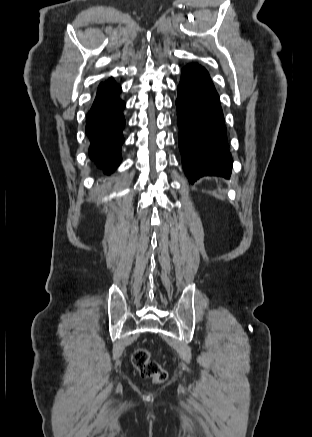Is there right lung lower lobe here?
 Masks as SVG:
<instances>
[{
    "mask_svg": "<svg viewBox=\"0 0 312 437\" xmlns=\"http://www.w3.org/2000/svg\"><path fill=\"white\" fill-rule=\"evenodd\" d=\"M121 87L111 78L101 83L86 116V134L91 142L90 158L110 174L121 161L125 103L119 98Z\"/></svg>",
    "mask_w": 312,
    "mask_h": 437,
    "instance_id": "right-lung-lower-lobe-1",
    "label": "right lung lower lobe"
}]
</instances>
